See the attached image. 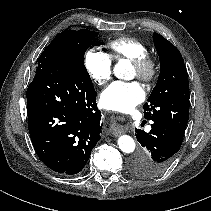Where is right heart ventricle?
<instances>
[{"label":"right heart ventricle","mask_w":211,"mask_h":211,"mask_svg":"<svg viewBox=\"0 0 211 211\" xmlns=\"http://www.w3.org/2000/svg\"><path fill=\"white\" fill-rule=\"evenodd\" d=\"M109 56L111 59L126 58L134 60L147 54L146 46L132 37H120L108 42Z\"/></svg>","instance_id":"e07e8e85"}]
</instances>
